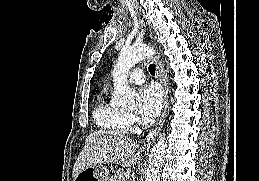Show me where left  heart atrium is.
Returning <instances> with one entry per match:
<instances>
[{
  "label": "left heart atrium",
  "mask_w": 259,
  "mask_h": 181,
  "mask_svg": "<svg viewBox=\"0 0 259 181\" xmlns=\"http://www.w3.org/2000/svg\"><path fill=\"white\" fill-rule=\"evenodd\" d=\"M137 112L147 120L155 118L162 107V93L158 86L142 87L136 97Z\"/></svg>",
  "instance_id": "1"
}]
</instances>
